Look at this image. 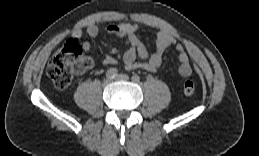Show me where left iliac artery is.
<instances>
[{
	"mask_svg": "<svg viewBox=\"0 0 259 156\" xmlns=\"http://www.w3.org/2000/svg\"><path fill=\"white\" fill-rule=\"evenodd\" d=\"M132 81L136 82V83H139L140 82V77L138 75H133L132 76Z\"/></svg>",
	"mask_w": 259,
	"mask_h": 156,
	"instance_id": "44dca946",
	"label": "left iliac artery"
}]
</instances>
